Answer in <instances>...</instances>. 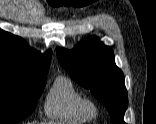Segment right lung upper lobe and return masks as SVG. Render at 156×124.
<instances>
[{"label": "right lung upper lobe", "mask_w": 156, "mask_h": 124, "mask_svg": "<svg viewBox=\"0 0 156 124\" xmlns=\"http://www.w3.org/2000/svg\"><path fill=\"white\" fill-rule=\"evenodd\" d=\"M52 51L41 54L24 39L0 29V71L26 76L47 75Z\"/></svg>", "instance_id": "obj_1"}]
</instances>
